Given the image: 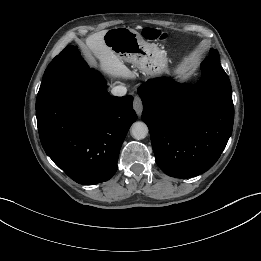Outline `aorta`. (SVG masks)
<instances>
[{
  "label": "aorta",
  "mask_w": 261,
  "mask_h": 261,
  "mask_svg": "<svg viewBox=\"0 0 261 261\" xmlns=\"http://www.w3.org/2000/svg\"><path fill=\"white\" fill-rule=\"evenodd\" d=\"M148 134V127L144 122H135L131 126V136L136 140L144 139Z\"/></svg>",
  "instance_id": "obj_1"
}]
</instances>
